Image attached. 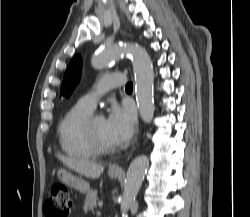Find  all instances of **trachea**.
<instances>
[{"label": "trachea", "instance_id": "1", "mask_svg": "<svg viewBox=\"0 0 250 217\" xmlns=\"http://www.w3.org/2000/svg\"><path fill=\"white\" fill-rule=\"evenodd\" d=\"M125 89H126V90H132V89H133V84H132V82L127 83Z\"/></svg>", "mask_w": 250, "mask_h": 217}]
</instances>
